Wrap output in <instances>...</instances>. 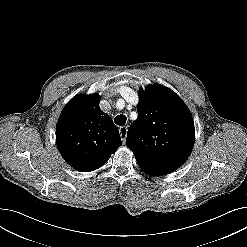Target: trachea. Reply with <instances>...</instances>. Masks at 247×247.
Wrapping results in <instances>:
<instances>
[{"mask_svg": "<svg viewBox=\"0 0 247 247\" xmlns=\"http://www.w3.org/2000/svg\"><path fill=\"white\" fill-rule=\"evenodd\" d=\"M126 119L125 115H118L114 118V122L119 126H123L126 123Z\"/></svg>", "mask_w": 247, "mask_h": 247, "instance_id": "1", "label": "trachea"}]
</instances>
